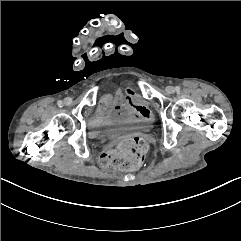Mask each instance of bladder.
<instances>
[{"mask_svg":"<svg viewBox=\"0 0 241 241\" xmlns=\"http://www.w3.org/2000/svg\"><path fill=\"white\" fill-rule=\"evenodd\" d=\"M133 108L123 96H117L105 113L104 119L109 125H125L133 121Z\"/></svg>","mask_w":241,"mask_h":241,"instance_id":"31cf9c89","label":"bladder"}]
</instances>
